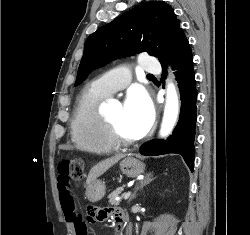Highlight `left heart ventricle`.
I'll return each mask as SVG.
<instances>
[{"label": "left heart ventricle", "mask_w": 250, "mask_h": 235, "mask_svg": "<svg viewBox=\"0 0 250 235\" xmlns=\"http://www.w3.org/2000/svg\"><path fill=\"white\" fill-rule=\"evenodd\" d=\"M107 117L111 119L118 127L121 135L126 140H136L137 135L132 130L129 121L126 118L124 107H118L107 114Z\"/></svg>", "instance_id": "1"}]
</instances>
